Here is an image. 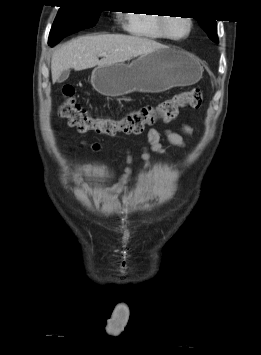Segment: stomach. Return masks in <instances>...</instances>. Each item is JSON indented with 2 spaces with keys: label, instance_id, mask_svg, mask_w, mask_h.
<instances>
[{
  "label": "stomach",
  "instance_id": "obj_1",
  "mask_svg": "<svg viewBox=\"0 0 261 355\" xmlns=\"http://www.w3.org/2000/svg\"><path fill=\"white\" fill-rule=\"evenodd\" d=\"M202 66L191 54L172 47H161L140 55L131 63L99 65L91 75L94 89L117 97L135 91L160 93L172 87L192 85L202 76Z\"/></svg>",
  "mask_w": 261,
  "mask_h": 355
}]
</instances>
